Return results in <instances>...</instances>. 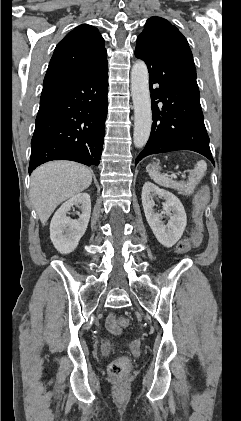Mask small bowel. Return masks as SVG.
I'll list each match as a JSON object with an SVG mask.
<instances>
[{
    "label": "small bowel",
    "instance_id": "small-bowel-1",
    "mask_svg": "<svg viewBox=\"0 0 241 421\" xmlns=\"http://www.w3.org/2000/svg\"><path fill=\"white\" fill-rule=\"evenodd\" d=\"M192 240L195 244L200 243L201 241V233L198 230H194L192 232ZM105 327L112 333H118L120 328L114 324V315L109 314L105 320Z\"/></svg>",
    "mask_w": 241,
    "mask_h": 421
}]
</instances>
